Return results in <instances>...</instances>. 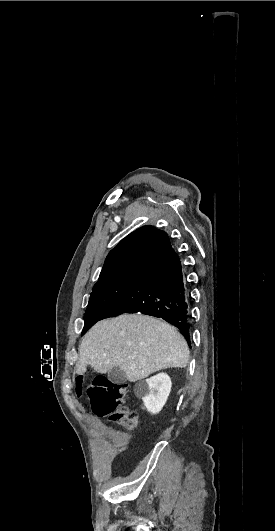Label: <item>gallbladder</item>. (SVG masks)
I'll list each match as a JSON object with an SVG mask.
<instances>
[{
  "instance_id": "1",
  "label": "gallbladder",
  "mask_w": 275,
  "mask_h": 531,
  "mask_svg": "<svg viewBox=\"0 0 275 531\" xmlns=\"http://www.w3.org/2000/svg\"><path fill=\"white\" fill-rule=\"evenodd\" d=\"M107 379H109L111 383H114V385H122V383H126L127 381L126 373H124L120 367H113V369L109 371Z\"/></svg>"
}]
</instances>
